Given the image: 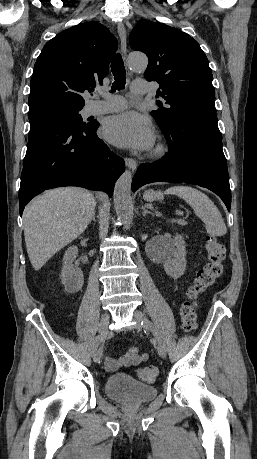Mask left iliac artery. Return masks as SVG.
<instances>
[{
  "mask_svg": "<svg viewBox=\"0 0 257 459\" xmlns=\"http://www.w3.org/2000/svg\"><path fill=\"white\" fill-rule=\"evenodd\" d=\"M141 324L144 325V326H148L150 328V330L153 332L156 341L159 340V336H158L157 332L155 331L154 327L152 326V324L149 321H147V322L142 321Z\"/></svg>",
  "mask_w": 257,
  "mask_h": 459,
  "instance_id": "obj_1",
  "label": "left iliac artery"
}]
</instances>
